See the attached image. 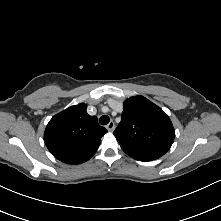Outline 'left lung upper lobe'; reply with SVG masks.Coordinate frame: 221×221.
Returning a JSON list of instances; mask_svg holds the SVG:
<instances>
[{"instance_id":"obj_1","label":"left lung upper lobe","mask_w":221,"mask_h":221,"mask_svg":"<svg viewBox=\"0 0 221 221\" xmlns=\"http://www.w3.org/2000/svg\"><path fill=\"white\" fill-rule=\"evenodd\" d=\"M113 134L122 150L139 161L160 158L175 138L168 115L143 96H134L124 102L121 122Z\"/></svg>"}]
</instances>
